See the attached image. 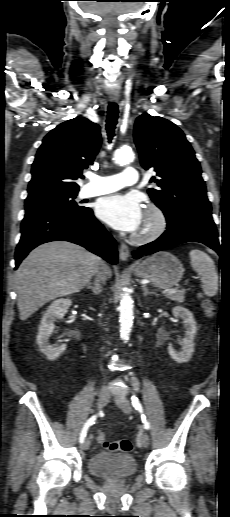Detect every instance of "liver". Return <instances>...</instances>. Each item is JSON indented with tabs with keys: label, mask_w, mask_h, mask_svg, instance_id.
Masks as SVG:
<instances>
[{
	"label": "liver",
	"mask_w": 230,
	"mask_h": 517,
	"mask_svg": "<svg viewBox=\"0 0 230 517\" xmlns=\"http://www.w3.org/2000/svg\"><path fill=\"white\" fill-rule=\"evenodd\" d=\"M99 270L111 276L98 256L76 244L55 241L38 246L15 272L20 319L57 297L79 292Z\"/></svg>",
	"instance_id": "6515ba94"
}]
</instances>
